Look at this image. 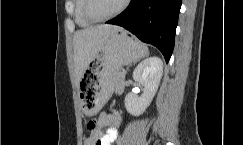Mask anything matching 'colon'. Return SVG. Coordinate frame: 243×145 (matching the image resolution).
<instances>
[{"instance_id": "5ec220e1", "label": "colon", "mask_w": 243, "mask_h": 145, "mask_svg": "<svg viewBox=\"0 0 243 145\" xmlns=\"http://www.w3.org/2000/svg\"><path fill=\"white\" fill-rule=\"evenodd\" d=\"M88 129L91 131L96 127V122L94 120H91L87 124Z\"/></svg>"}]
</instances>
